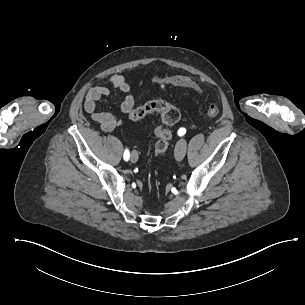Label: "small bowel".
Masks as SVG:
<instances>
[{
	"label": "small bowel",
	"instance_id": "1",
	"mask_svg": "<svg viewBox=\"0 0 305 305\" xmlns=\"http://www.w3.org/2000/svg\"><path fill=\"white\" fill-rule=\"evenodd\" d=\"M111 90H116L124 94V99L120 104V112L123 115H129L135 106V97L132 89L121 75H112L109 78L108 85L91 88L85 96L84 109L104 132H111L117 126V120L112 114L99 112L97 110L98 102L103 97L109 95Z\"/></svg>",
	"mask_w": 305,
	"mask_h": 305
}]
</instances>
